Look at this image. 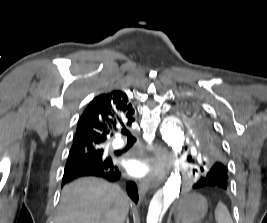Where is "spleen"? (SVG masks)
I'll return each instance as SVG.
<instances>
[{
  "mask_svg": "<svg viewBox=\"0 0 267 223\" xmlns=\"http://www.w3.org/2000/svg\"><path fill=\"white\" fill-rule=\"evenodd\" d=\"M215 219L217 223H233L230 213L222 202H218L215 209Z\"/></svg>",
  "mask_w": 267,
  "mask_h": 223,
  "instance_id": "3e777b00",
  "label": "spleen"
}]
</instances>
